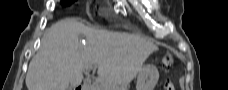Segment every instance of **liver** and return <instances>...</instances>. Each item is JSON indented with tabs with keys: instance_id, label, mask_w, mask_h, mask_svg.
<instances>
[{
	"instance_id": "liver-1",
	"label": "liver",
	"mask_w": 228,
	"mask_h": 90,
	"mask_svg": "<svg viewBox=\"0 0 228 90\" xmlns=\"http://www.w3.org/2000/svg\"><path fill=\"white\" fill-rule=\"evenodd\" d=\"M157 49L141 35L96 30L76 19H64L43 36L39 52L30 61L26 86L28 90H68L69 85L81 84L84 69L96 66L104 88L125 87Z\"/></svg>"
}]
</instances>
